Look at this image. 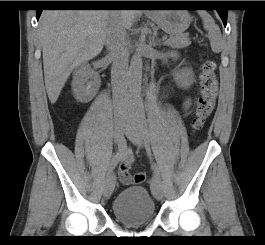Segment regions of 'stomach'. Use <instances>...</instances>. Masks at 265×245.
Wrapping results in <instances>:
<instances>
[{
  "instance_id": "obj_1",
  "label": "stomach",
  "mask_w": 265,
  "mask_h": 245,
  "mask_svg": "<svg viewBox=\"0 0 265 245\" xmlns=\"http://www.w3.org/2000/svg\"><path fill=\"white\" fill-rule=\"evenodd\" d=\"M150 17L165 32L174 36L182 35L191 22L186 10H157Z\"/></svg>"
}]
</instances>
